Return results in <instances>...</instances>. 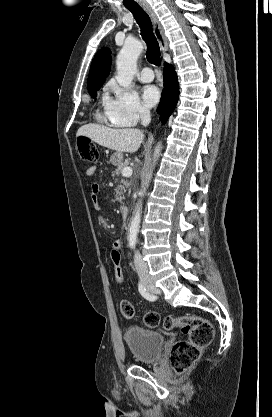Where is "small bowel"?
<instances>
[{
	"instance_id": "c3829d8e",
	"label": "small bowel",
	"mask_w": 272,
	"mask_h": 417,
	"mask_svg": "<svg viewBox=\"0 0 272 417\" xmlns=\"http://www.w3.org/2000/svg\"><path fill=\"white\" fill-rule=\"evenodd\" d=\"M96 170H97L96 165L90 166L86 170V176L87 177L93 176L94 173L96 172ZM90 196H91V200H92V203H93L94 207L99 208V206H100V197H99V185L97 183H93L91 185ZM120 248H121V241L119 239L114 240L113 244H112V249L120 250Z\"/></svg>"
}]
</instances>
